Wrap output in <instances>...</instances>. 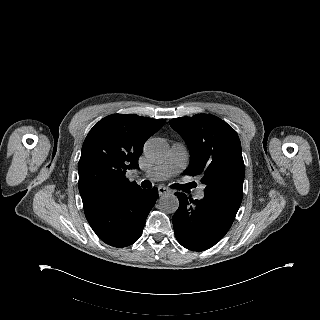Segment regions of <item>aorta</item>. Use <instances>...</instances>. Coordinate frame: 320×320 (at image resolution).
Segmentation results:
<instances>
[{"mask_svg": "<svg viewBox=\"0 0 320 320\" xmlns=\"http://www.w3.org/2000/svg\"><path fill=\"white\" fill-rule=\"evenodd\" d=\"M144 153L149 160L158 162L166 158L169 147L164 140L151 138L144 146ZM159 206L165 213H175L179 207V200L174 194H164L159 199Z\"/></svg>", "mask_w": 320, "mask_h": 320, "instance_id": "1", "label": "aorta"}]
</instances>
